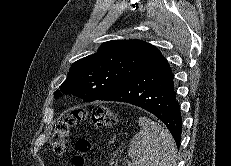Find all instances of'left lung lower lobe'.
<instances>
[{"label": "left lung lower lobe", "instance_id": "obj_1", "mask_svg": "<svg viewBox=\"0 0 231 166\" xmlns=\"http://www.w3.org/2000/svg\"><path fill=\"white\" fill-rule=\"evenodd\" d=\"M97 100L126 102L149 111L167 126L177 146L180 145V107L172 71L163 55Z\"/></svg>", "mask_w": 231, "mask_h": 166}]
</instances>
